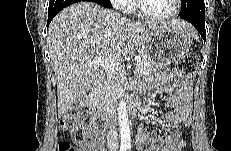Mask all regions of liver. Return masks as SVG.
<instances>
[{
    "label": "liver",
    "instance_id": "1",
    "mask_svg": "<svg viewBox=\"0 0 231 151\" xmlns=\"http://www.w3.org/2000/svg\"><path fill=\"white\" fill-rule=\"evenodd\" d=\"M172 24L189 36L194 28L184 20L141 23L90 2L64 8L52 20L47 34L49 53L57 79L58 115H64L99 81V56L119 63L133 49H145L160 26Z\"/></svg>",
    "mask_w": 231,
    "mask_h": 151
}]
</instances>
